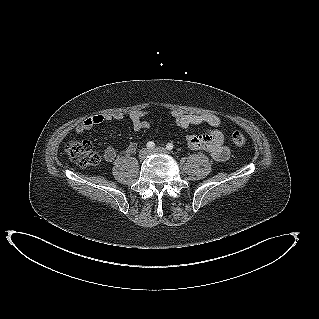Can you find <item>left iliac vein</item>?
Segmentation results:
<instances>
[{
	"label": "left iliac vein",
	"mask_w": 319,
	"mask_h": 319,
	"mask_svg": "<svg viewBox=\"0 0 319 319\" xmlns=\"http://www.w3.org/2000/svg\"><path fill=\"white\" fill-rule=\"evenodd\" d=\"M150 153H167V150L163 147H156L150 150Z\"/></svg>",
	"instance_id": "1"
}]
</instances>
